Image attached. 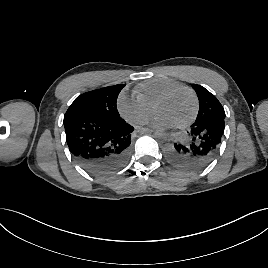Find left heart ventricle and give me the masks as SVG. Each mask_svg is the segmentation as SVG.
Returning a JSON list of instances; mask_svg holds the SVG:
<instances>
[{"instance_id":"obj_1","label":"left heart ventricle","mask_w":268,"mask_h":268,"mask_svg":"<svg viewBox=\"0 0 268 268\" xmlns=\"http://www.w3.org/2000/svg\"><path fill=\"white\" fill-rule=\"evenodd\" d=\"M193 107V100L190 94L186 91H180L158 107L157 115L165 118L175 126L191 116Z\"/></svg>"}]
</instances>
